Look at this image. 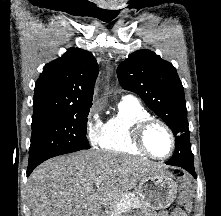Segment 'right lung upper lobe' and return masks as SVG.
<instances>
[{
  "mask_svg": "<svg viewBox=\"0 0 221 216\" xmlns=\"http://www.w3.org/2000/svg\"><path fill=\"white\" fill-rule=\"evenodd\" d=\"M98 72L95 57L79 48L45 65L35 84L32 122L90 109Z\"/></svg>",
  "mask_w": 221,
  "mask_h": 216,
  "instance_id": "1",
  "label": "right lung upper lobe"
}]
</instances>
